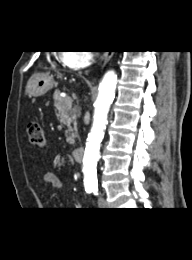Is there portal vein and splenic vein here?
<instances>
[{"instance_id":"1","label":"portal vein and splenic vein","mask_w":192,"mask_h":260,"mask_svg":"<svg viewBox=\"0 0 192 260\" xmlns=\"http://www.w3.org/2000/svg\"><path fill=\"white\" fill-rule=\"evenodd\" d=\"M66 105H67L69 108L72 107V99H71V97H67V99H66Z\"/></svg>"}]
</instances>
